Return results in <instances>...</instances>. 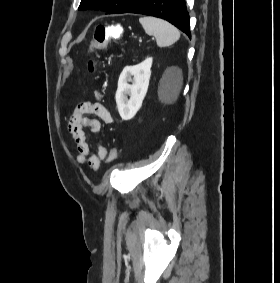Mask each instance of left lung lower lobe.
Returning a JSON list of instances; mask_svg holds the SVG:
<instances>
[{"mask_svg": "<svg viewBox=\"0 0 280 283\" xmlns=\"http://www.w3.org/2000/svg\"><path fill=\"white\" fill-rule=\"evenodd\" d=\"M127 13L145 14L165 19L191 37L185 0H142Z\"/></svg>", "mask_w": 280, "mask_h": 283, "instance_id": "obj_1", "label": "left lung lower lobe"}]
</instances>
